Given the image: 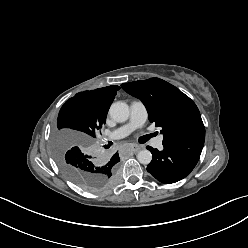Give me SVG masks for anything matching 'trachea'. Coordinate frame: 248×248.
Returning a JSON list of instances; mask_svg holds the SVG:
<instances>
[{
  "label": "trachea",
  "mask_w": 248,
  "mask_h": 248,
  "mask_svg": "<svg viewBox=\"0 0 248 248\" xmlns=\"http://www.w3.org/2000/svg\"><path fill=\"white\" fill-rule=\"evenodd\" d=\"M154 134H155V133H154ZM154 134H150V135L145 136V140H144V141L149 140V138H150V137H153V136H154Z\"/></svg>",
  "instance_id": "1"
}]
</instances>
